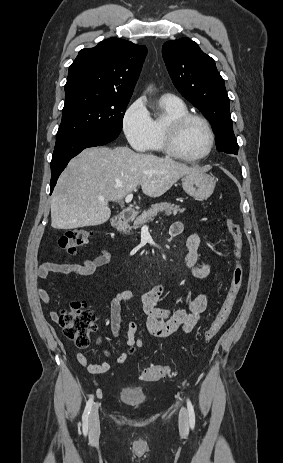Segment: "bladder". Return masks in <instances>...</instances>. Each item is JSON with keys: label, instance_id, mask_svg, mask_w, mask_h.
Segmentation results:
<instances>
[{"label": "bladder", "instance_id": "bladder-1", "mask_svg": "<svg viewBox=\"0 0 283 463\" xmlns=\"http://www.w3.org/2000/svg\"><path fill=\"white\" fill-rule=\"evenodd\" d=\"M146 393L138 387L126 386L121 388L119 399L129 406H140L146 402Z\"/></svg>", "mask_w": 283, "mask_h": 463}]
</instances>
